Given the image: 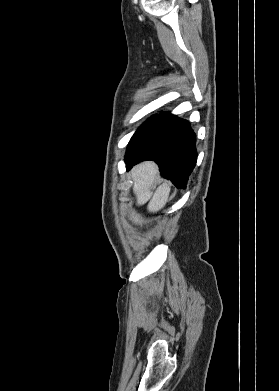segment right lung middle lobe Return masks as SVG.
<instances>
[{
	"mask_svg": "<svg viewBox=\"0 0 279 391\" xmlns=\"http://www.w3.org/2000/svg\"><path fill=\"white\" fill-rule=\"evenodd\" d=\"M159 115H154L151 117L148 121H146L138 130L135 132L133 137L130 140V143L135 140L137 137H139L153 122L154 120L158 117Z\"/></svg>",
	"mask_w": 279,
	"mask_h": 391,
	"instance_id": "obj_1",
	"label": "right lung middle lobe"
}]
</instances>
